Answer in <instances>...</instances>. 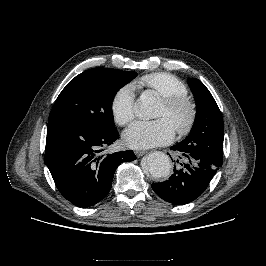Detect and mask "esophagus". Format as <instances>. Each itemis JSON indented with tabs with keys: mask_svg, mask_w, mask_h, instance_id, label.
Masks as SVG:
<instances>
[{
	"mask_svg": "<svg viewBox=\"0 0 266 266\" xmlns=\"http://www.w3.org/2000/svg\"><path fill=\"white\" fill-rule=\"evenodd\" d=\"M144 154H146V151L145 150H135V155L137 157H141L143 156Z\"/></svg>",
	"mask_w": 266,
	"mask_h": 266,
	"instance_id": "obj_1",
	"label": "esophagus"
}]
</instances>
